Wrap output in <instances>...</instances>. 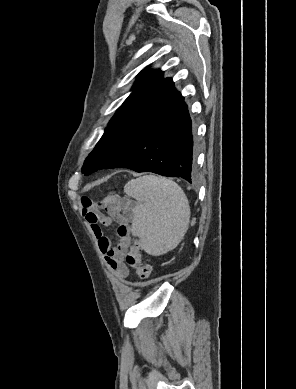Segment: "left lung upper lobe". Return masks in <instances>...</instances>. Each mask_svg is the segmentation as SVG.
Returning <instances> with one entry per match:
<instances>
[{
	"instance_id": "5c2ea615",
	"label": "left lung upper lobe",
	"mask_w": 296,
	"mask_h": 389,
	"mask_svg": "<svg viewBox=\"0 0 296 389\" xmlns=\"http://www.w3.org/2000/svg\"><path fill=\"white\" fill-rule=\"evenodd\" d=\"M167 79L168 78L166 79L162 78V71L160 70H150L148 69V67L142 70L138 75L137 81L132 88V93L124 101L122 106L118 109L116 114L113 116L109 126L114 122H116L119 118H121L126 112H128L136 105H138L140 102H142L145 98H147ZM98 166L99 164L92 151L84 162V165L82 167V172L85 175H89L92 172L97 171L99 169Z\"/></svg>"
}]
</instances>
